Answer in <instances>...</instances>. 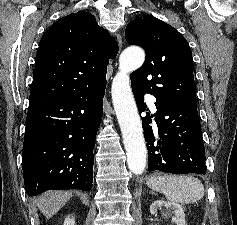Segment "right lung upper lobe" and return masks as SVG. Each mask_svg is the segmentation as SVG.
<instances>
[{"instance_id": "obj_1", "label": "right lung upper lobe", "mask_w": 237, "mask_h": 225, "mask_svg": "<svg viewBox=\"0 0 237 225\" xmlns=\"http://www.w3.org/2000/svg\"><path fill=\"white\" fill-rule=\"evenodd\" d=\"M118 44L93 15L80 11L52 24L40 40L29 105L65 99L106 83Z\"/></svg>"}]
</instances>
